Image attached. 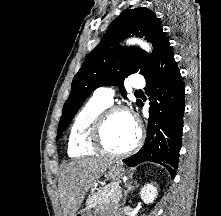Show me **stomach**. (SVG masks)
<instances>
[{
    "label": "stomach",
    "instance_id": "obj_1",
    "mask_svg": "<svg viewBox=\"0 0 221 216\" xmlns=\"http://www.w3.org/2000/svg\"><path fill=\"white\" fill-rule=\"evenodd\" d=\"M126 173L125 168L120 162L113 163L105 171V177L113 180L114 182L118 181ZM101 213L87 209L85 211L78 212L75 216H93L94 214Z\"/></svg>",
    "mask_w": 221,
    "mask_h": 216
}]
</instances>
